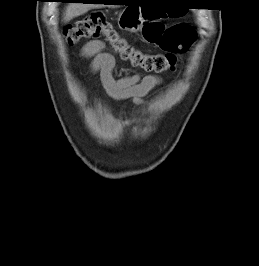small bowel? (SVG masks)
<instances>
[{"label": "small bowel", "instance_id": "c3829d8e", "mask_svg": "<svg viewBox=\"0 0 259 266\" xmlns=\"http://www.w3.org/2000/svg\"><path fill=\"white\" fill-rule=\"evenodd\" d=\"M103 50V42L93 40L83 47L82 55L90 60L91 70L99 75L106 93L117 101L143 104L145 97L161 82V79L155 75L145 77L134 75L116 80L113 75L115 59Z\"/></svg>", "mask_w": 259, "mask_h": 266}]
</instances>
